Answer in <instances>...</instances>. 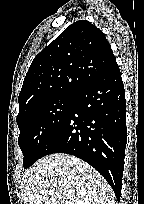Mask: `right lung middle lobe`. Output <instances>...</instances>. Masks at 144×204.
I'll return each mask as SVG.
<instances>
[{
	"label": "right lung middle lobe",
	"mask_w": 144,
	"mask_h": 204,
	"mask_svg": "<svg viewBox=\"0 0 144 204\" xmlns=\"http://www.w3.org/2000/svg\"><path fill=\"white\" fill-rule=\"evenodd\" d=\"M76 95H58L30 107L17 116L18 144L23 152V167L33 165L48 139L67 116Z\"/></svg>",
	"instance_id": "1"
}]
</instances>
